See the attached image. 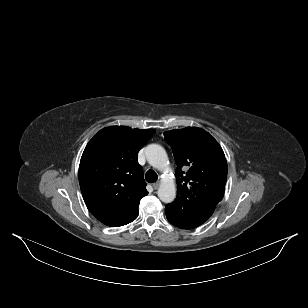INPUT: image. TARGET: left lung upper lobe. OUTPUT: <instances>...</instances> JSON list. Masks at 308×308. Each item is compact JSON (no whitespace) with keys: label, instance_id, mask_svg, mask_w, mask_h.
I'll list each match as a JSON object with an SVG mask.
<instances>
[{"label":"left lung upper lobe","instance_id":"left-lung-upper-lobe-1","mask_svg":"<svg viewBox=\"0 0 308 308\" xmlns=\"http://www.w3.org/2000/svg\"><path fill=\"white\" fill-rule=\"evenodd\" d=\"M164 137L177 164V197L166 205V215L187 218L215 208L224 196L228 171L219 143L197 127L168 131Z\"/></svg>","mask_w":308,"mask_h":308}]
</instances>
